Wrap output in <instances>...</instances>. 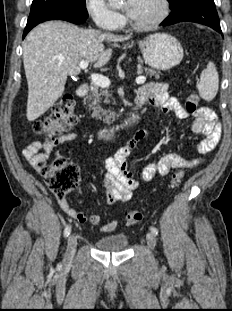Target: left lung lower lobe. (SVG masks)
<instances>
[{
  "instance_id": "1",
  "label": "left lung lower lobe",
  "mask_w": 232,
  "mask_h": 311,
  "mask_svg": "<svg viewBox=\"0 0 232 311\" xmlns=\"http://www.w3.org/2000/svg\"><path fill=\"white\" fill-rule=\"evenodd\" d=\"M171 10L170 15L160 25L189 21L204 24L222 33L214 0H179Z\"/></svg>"
}]
</instances>
